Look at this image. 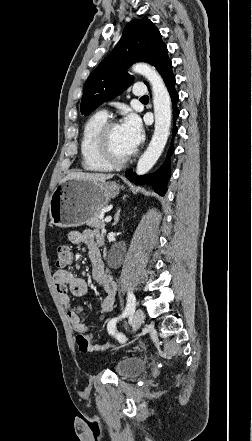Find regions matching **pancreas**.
Listing matches in <instances>:
<instances>
[{
  "label": "pancreas",
  "instance_id": "1",
  "mask_svg": "<svg viewBox=\"0 0 252 441\" xmlns=\"http://www.w3.org/2000/svg\"><path fill=\"white\" fill-rule=\"evenodd\" d=\"M87 224L89 226H91V227H95V228H98V229H102V228L105 227L104 220L100 217V213L97 214V215L92 216L88 220Z\"/></svg>",
  "mask_w": 252,
  "mask_h": 441
}]
</instances>
